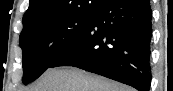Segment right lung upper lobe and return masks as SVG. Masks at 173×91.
Instances as JSON below:
<instances>
[{
  "label": "right lung upper lobe",
  "instance_id": "obj_1",
  "mask_svg": "<svg viewBox=\"0 0 173 91\" xmlns=\"http://www.w3.org/2000/svg\"><path fill=\"white\" fill-rule=\"evenodd\" d=\"M101 0H30L23 16L24 28L43 20L96 10ZM23 28V29H24Z\"/></svg>",
  "mask_w": 173,
  "mask_h": 91
}]
</instances>
